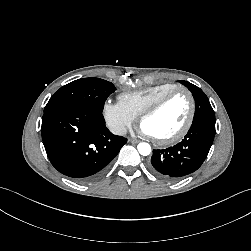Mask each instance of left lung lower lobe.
Returning a JSON list of instances; mask_svg holds the SVG:
<instances>
[{"label":"left lung lower lobe","mask_w":251,"mask_h":251,"mask_svg":"<svg viewBox=\"0 0 251 251\" xmlns=\"http://www.w3.org/2000/svg\"><path fill=\"white\" fill-rule=\"evenodd\" d=\"M215 136V119L193 121L187 135L167 149L153 150L150 170L166 180H176L196 171L206 159Z\"/></svg>","instance_id":"0a47b994"}]
</instances>
